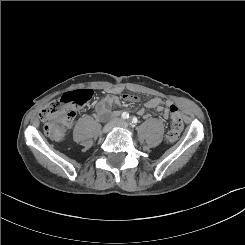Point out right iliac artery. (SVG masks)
<instances>
[{
	"mask_svg": "<svg viewBox=\"0 0 245 245\" xmlns=\"http://www.w3.org/2000/svg\"><path fill=\"white\" fill-rule=\"evenodd\" d=\"M121 117H122L123 120H126V119L129 118V113L123 112L122 115H121Z\"/></svg>",
	"mask_w": 245,
	"mask_h": 245,
	"instance_id": "1",
	"label": "right iliac artery"
}]
</instances>
